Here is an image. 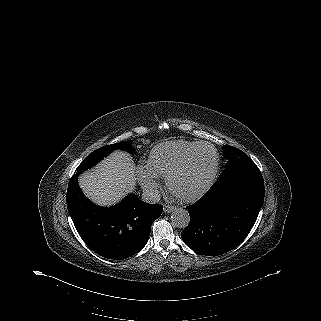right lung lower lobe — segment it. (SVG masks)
Wrapping results in <instances>:
<instances>
[{
  "instance_id": "98d812e1",
  "label": "right lung lower lobe",
  "mask_w": 321,
  "mask_h": 321,
  "mask_svg": "<svg viewBox=\"0 0 321 321\" xmlns=\"http://www.w3.org/2000/svg\"><path fill=\"white\" fill-rule=\"evenodd\" d=\"M67 207L86 245L108 259L121 260L139 252L147 243L151 225L163 207L129 195L120 204L99 207L88 200L78 185L77 174L67 190Z\"/></svg>"
}]
</instances>
